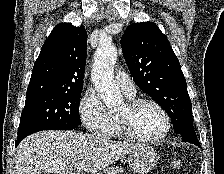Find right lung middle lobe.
<instances>
[{"mask_svg":"<svg viewBox=\"0 0 224 174\" xmlns=\"http://www.w3.org/2000/svg\"><path fill=\"white\" fill-rule=\"evenodd\" d=\"M81 92L82 90L27 95L18 134L79 126Z\"/></svg>","mask_w":224,"mask_h":174,"instance_id":"1","label":"right lung middle lobe"}]
</instances>
